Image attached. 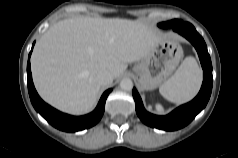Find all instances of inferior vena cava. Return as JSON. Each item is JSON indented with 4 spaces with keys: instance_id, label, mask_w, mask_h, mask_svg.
<instances>
[{
    "instance_id": "obj_1",
    "label": "inferior vena cava",
    "mask_w": 238,
    "mask_h": 158,
    "mask_svg": "<svg viewBox=\"0 0 238 158\" xmlns=\"http://www.w3.org/2000/svg\"><path fill=\"white\" fill-rule=\"evenodd\" d=\"M97 80L102 86H109L113 81V76L108 70H100L97 73Z\"/></svg>"
}]
</instances>
